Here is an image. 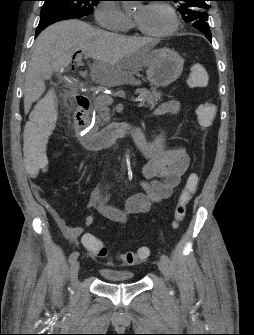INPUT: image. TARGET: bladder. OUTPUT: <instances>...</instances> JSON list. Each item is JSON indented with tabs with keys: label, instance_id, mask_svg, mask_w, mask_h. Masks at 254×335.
<instances>
[{
	"label": "bladder",
	"instance_id": "obj_1",
	"mask_svg": "<svg viewBox=\"0 0 254 335\" xmlns=\"http://www.w3.org/2000/svg\"><path fill=\"white\" fill-rule=\"evenodd\" d=\"M99 272L106 282H131L134 280V273L128 270L103 267Z\"/></svg>",
	"mask_w": 254,
	"mask_h": 335
}]
</instances>
